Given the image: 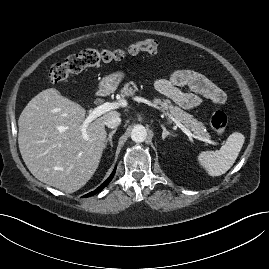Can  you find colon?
<instances>
[{
  "label": "colon",
  "mask_w": 269,
  "mask_h": 269,
  "mask_svg": "<svg viewBox=\"0 0 269 269\" xmlns=\"http://www.w3.org/2000/svg\"><path fill=\"white\" fill-rule=\"evenodd\" d=\"M157 51L158 42L150 38L133 41L125 48L86 49L68 57L61 63L53 65L49 72V79L52 83H60L70 75L80 73L88 67H93L101 63L120 61L127 55H137L140 53L155 54ZM227 122V115L222 110H215L210 115L211 128L218 135L225 132Z\"/></svg>",
  "instance_id": "colon-1"
}]
</instances>
